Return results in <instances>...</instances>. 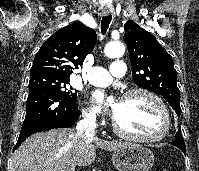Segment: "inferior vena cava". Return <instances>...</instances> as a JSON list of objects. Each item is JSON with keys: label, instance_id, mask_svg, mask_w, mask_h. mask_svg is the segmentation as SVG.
Returning <instances> with one entry per match:
<instances>
[{"label": "inferior vena cava", "instance_id": "inferior-vena-cava-1", "mask_svg": "<svg viewBox=\"0 0 199 171\" xmlns=\"http://www.w3.org/2000/svg\"><path fill=\"white\" fill-rule=\"evenodd\" d=\"M95 120L92 117H85L77 123V135L88 139L95 138Z\"/></svg>", "mask_w": 199, "mask_h": 171}]
</instances>
